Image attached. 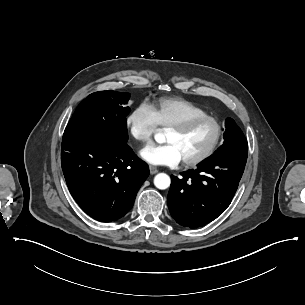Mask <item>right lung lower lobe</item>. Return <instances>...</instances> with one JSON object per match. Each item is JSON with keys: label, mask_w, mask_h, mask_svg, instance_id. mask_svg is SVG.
<instances>
[{"label": "right lung lower lobe", "mask_w": 305, "mask_h": 305, "mask_svg": "<svg viewBox=\"0 0 305 305\" xmlns=\"http://www.w3.org/2000/svg\"><path fill=\"white\" fill-rule=\"evenodd\" d=\"M61 150L68 189L88 215L111 222L128 213L149 168L127 144L71 140Z\"/></svg>", "instance_id": "obj_1"}]
</instances>
